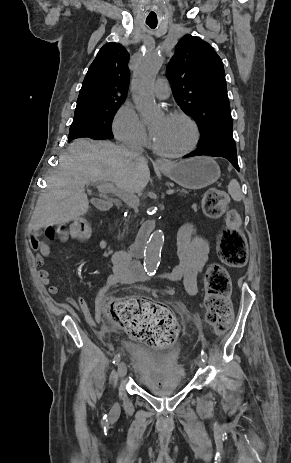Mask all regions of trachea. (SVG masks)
Listing matches in <instances>:
<instances>
[{
    "instance_id": "1",
    "label": "trachea",
    "mask_w": 291,
    "mask_h": 463,
    "mask_svg": "<svg viewBox=\"0 0 291 463\" xmlns=\"http://www.w3.org/2000/svg\"><path fill=\"white\" fill-rule=\"evenodd\" d=\"M146 24L152 29L156 28L157 26V22H146Z\"/></svg>"
}]
</instances>
